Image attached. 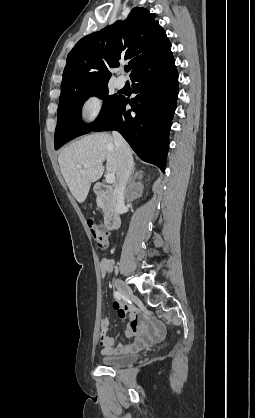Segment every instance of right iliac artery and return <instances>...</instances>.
<instances>
[{
    "mask_svg": "<svg viewBox=\"0 0 255 418\" xmlns=\"http://www.w3.org/2000/svg\"><path fill=\"white\" fill-rule=\"evenodd\" d=\"M114 297L117 299V300H121L122 299V295H121V293L120 292H118V291H114Z\"/></svg>",
    "mask_w": 255,
    "mask_h": 418,
    "instance_id": "obj_1",
    "label": "right iliac artery"
}]
</instances>
